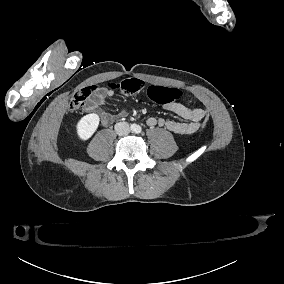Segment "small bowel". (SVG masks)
Returning <instances> with one entry per match:
<instances>
[{
  "label": "small bowel",
  "mask_w": 284,
  "mask_h": 284,
  "mask_svg": "<svg viewBox=\"0 0 284 284\" xmlns=\"http://www.w3.org/2000/svg\"><path fill=\"white\" fill-rule=\"evenodd\" d=\"M112 90H106L105 94L108 96L113 95ZM104 95L97 94L94 98H92L87 106V110H93L99 106L104 105ZM165 109L176 114L184 121H173V120H165V119H156L149 118L147 120V125L149 127H154L156 125L165 126L170 132L180 135V136H188L192 135L200 127L201 121L206 113L203 108H189L180 103H170L165 105ZM127 115V111H122L119 116L125 117ZM112 115L107 112L101 113V121L103 124L108 123L112 119Z\"/></svg>",
  "instance_id": "small-bowel-1"
}]
</instances>
